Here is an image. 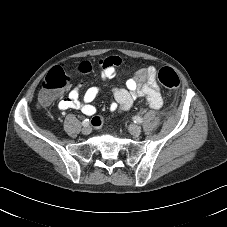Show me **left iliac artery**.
<instances>
[{"label": "left iliac artery", "mask_w": 227, "mask_h": 227, "mask_svg": "<svg viewBox=\"0 0 227 227\" xmlns=\"http://www.w3.org/2000/svg\"><path fill=\"white\" fill-rule=\"evenodd\" d=\"M133 120H134L135 123H142V118L139 117V116H134Z\"/></svg>", "instance_id": "44dca946"}]
</instances>
